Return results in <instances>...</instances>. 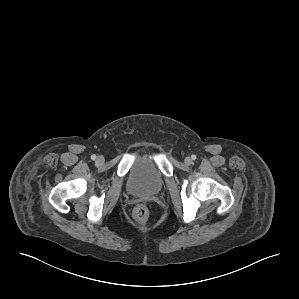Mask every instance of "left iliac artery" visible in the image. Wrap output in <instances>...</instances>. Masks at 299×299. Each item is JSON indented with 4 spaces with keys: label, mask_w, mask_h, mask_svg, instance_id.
Listing matches in <instances>:
<instances>
[{
    "label": "left iliac artery",
    "mask_w": 299,
    "mask_h": 299,
    "mask_svg": "<svg viewBox=\"0 0 299 299\" xmlns=\"http://www.w3.org/2000/svg\"><path fill=\"white\" fill-rule=\"evenodd\" d=\"M192 159L195 160V159H196V156H195V155H192Z\"/></svg>",
    "instance_id": "left-iliac-artery-1"
}]
</instances>
